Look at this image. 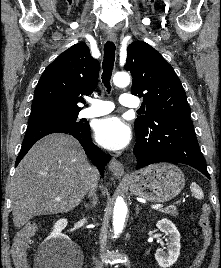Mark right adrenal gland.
I'll return each mask as SVG.
<instances>
[{
    "label": "right adrenal gland",
    "instance_id": "1",
    "mask_svg": "<svg viewBox=\"0 0 221 268\" xmlns=\"http://www.w3.org/2000/svg\"><path fill=\"white\" fill-rule=\"evenodd\" d=\"M96 203H97V197H96V195L94 194V195H93V198H92V202H91V204L85 203L84 206H85V208H86L87 210H90V209H92L93 207H95Z\"/></svg>",
    "mask_w": 221,
    "mask_h": 268
}]
</instances>
